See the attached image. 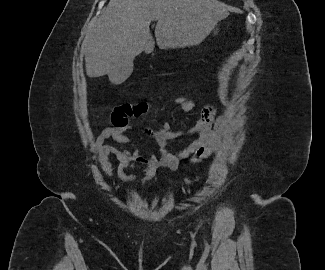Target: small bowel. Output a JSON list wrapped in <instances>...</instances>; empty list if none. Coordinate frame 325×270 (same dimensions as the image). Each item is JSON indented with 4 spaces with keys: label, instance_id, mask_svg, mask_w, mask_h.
<instances>
[{
    "label": "small bowel",
    "instance_id": "c3829d8e",
    "mask_svg": "<svg viewBox=\"0 0 325 270\" xmlns=\"http://www.w3.org/2000/svg\"><path fill=\"white\" fill-rule=\"evenodd\" d=\"M163 97H152L148 100L136 101L133 103H117L113 112V125L104 128L96 139V145L99 149L100 164L104 173L113 176V163L111 157L118 161L116 174L122 182H132L136 176L127 174L126 169L133 165H138L145 169L146 176L143 181L151 180L158 168H168L176 170L181 160L191 158L194 163L209 158L218 146V136L211 131V124L217 113V108L213 105H205L202 114L197 123L188 130H174L168 122H165L158 130L140 125L142 132L153 139L158 145V153L144 156L140 153L137 145L127 135L125 131L130 126V117H140L148 112L150 103L163 101ZM173 103L180 106L183 113H189L193 109L192 100L178 96L173 99ZM224 126V119L219 117L216 121L217 131H221ZM197 135L185 148L172 152L169 150V143L172 140L186 136ZM113 140L118 146L109 145L105 142ZM126 145L132 147L131 150L125 148Z\"/></svg>",
    "mask_w": 325,
    "mask_h": 270
}]
</instances>
